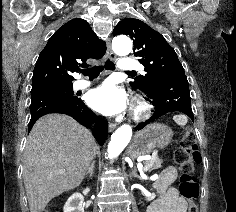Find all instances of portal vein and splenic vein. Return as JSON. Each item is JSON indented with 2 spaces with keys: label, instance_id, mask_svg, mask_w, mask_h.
<instances>
[{
  "label": "portal vein and splenic vein",
  "instance_id": "1",
  "mask_svg": "<svg viewBox=\"0 0 236 212\" xmlns=\"http://www.w3.org/2000/svg\"><path fill=\"white\" fill-rule=\"evenodd\" d=\"M156 155H157V152H154V153L152 154V156L145 157L144 160H151V159H153ZM148 167H149L148 165H145L144 167H143L142 165H140V168H141V169H144V170H147ZM59 172H60V173H63V170H59Z\"/></svg>",
  "mask_w": 236,
  "mask_h": 212
}]
</instances>
